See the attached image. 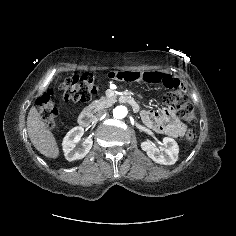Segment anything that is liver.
Segmentation results:
<instances>
[{"label":"liver","mask_w":236,"mask_h":236,"mask_svg":"<svg viewBox=\"0 0 236 236\" xmlns=\"http://www.w3.org/2000/svg\"><path fill=\"white\" fill-rule=\"evenodd\" d=\"M27 131L32 144L41 154L53 159L59 156L56 139L43 122L35 106H32L28 113Z\"/></svg>","instance_id":"6515ba94"}]
</instances>
